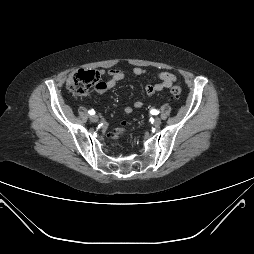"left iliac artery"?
I'll return each mask as SVG.
<instances>
[{"instance_id":"obj_1","label":"left iliac artery","mask_w":254,"mask_h":254,"mask_svg":"<svg viewBox=\"0 0 254 254\" xmlns=\"http://www.w3.org/2000/svg\"><path fill=\"white\" fill-rule=\"evenodd\" d=\"M150 113L153 114V115H157V114H159V111L156 110V109H152V110L150 111Z\"/></svg>"}]
</instances>
